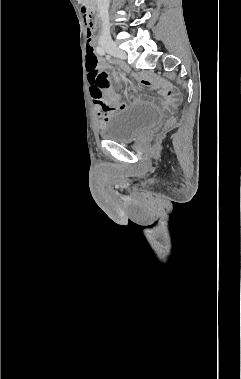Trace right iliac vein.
Segmentation results:
<instances>
[{"instance_id": "right-iliac-vein-1", "label": "right iliac vein", "mask_w": 241, "mask_h": 379, "mask_svg": "<svg viewBox=\"0 0 241 379\" xmlns=\"http://www.w3.org/2000/svg\"><path fill=\"white\" fill-rule=\"evenodd\" d=\"M102 46L111 55L119 57L121 59H125L126 58L125 52L122 51L121 49H119L115 43L108 42V43L102 44Z\"/></svg>"}]
</instances>
